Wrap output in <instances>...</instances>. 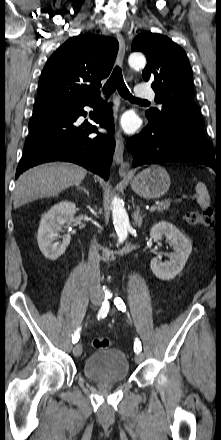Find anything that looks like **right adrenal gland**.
I'll use <instances>...</instances> for the list:
<instances>
[{
  "instance_id": "1",
  "label": "right adrenal gland",
  "mask_w": 221,
  "mask_h": 440,
  "mask_svg": "<svg viewBox=\"0 0 221 440\" xmlns=\"http://www.w3.org/2000/svg\"><path fill=\"white\" fill-rule=\"evenodd\" d=\"M77 188L80 189V190H83L87 194V196L89 197V191L86 188H84V187H82L80 185H77Z\"/></svg>"
}]
</instances>
